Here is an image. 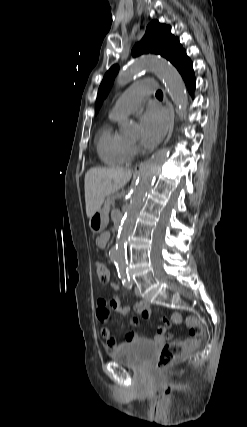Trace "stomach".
<instances>
[{"label": "stomach", "instance_id": "0dacf381", "mask_svg": "<svg viewBox=\"0 0 247 427\" xmlns=\"http://www.w3.org/2000/svg\"><path fill=\"white\" fill-rule=\"evenodd\" d=\"M108 224V214L104 210H99L93 214L89 220V226L94 233L102 232Z\"/></svg>", "mask_w": 247, "mask_h": 427}]
</instances>
